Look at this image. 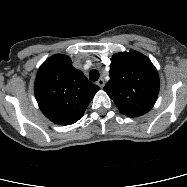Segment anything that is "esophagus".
Segmentation results:
<instances>
[{
	"label": "esophagus",
	"mask_w": 187,
	"mask_h": 187,
	"mask_svg": "<svg viewBox=\"0 0 187 187\" xmlns=\"http://www.w3.org/2000/svg\"><path fill=\"white\" fill-rule=\"evenodd\" d=\"M97 85H98L100 88H103L104 85H105L104 79L100 78V79L97 81Z\"/></svg>",
	"instance_id": "obj_1"
}]
</instances>
